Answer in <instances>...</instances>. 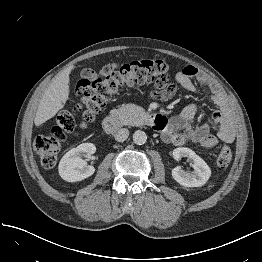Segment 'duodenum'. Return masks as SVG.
<instances>
[{
	"mask_svg": "<svg viewBox=\"0 0 262 262\" xmlns=\"http://www.w3.org/2000/svg\"><path fill=\"white\" fill-rule=\"evenodd\" d=\"M149 123L151 126L157 128L161 123H163V119L162 118H158V119L151 118ZM102 126H103V129L107 133L112 134V133L117 132L120 129L121 123L117 116L109 115L103 119Z\"/></svg>",
	"mask_w": 262,
	"mask_h": 262,
	"instance_id": "obj_1",
	"label": "duodenum"
}]
</instances>
